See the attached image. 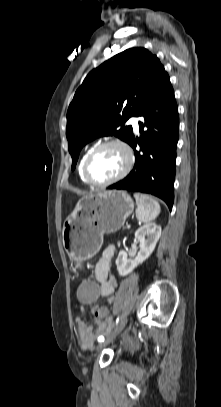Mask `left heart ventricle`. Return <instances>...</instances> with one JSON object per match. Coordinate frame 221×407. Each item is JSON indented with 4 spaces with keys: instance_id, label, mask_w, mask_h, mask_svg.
<instances>
[{
    "instance_id": "1",
    "label": "left heart ventricle",
    "mask_w": 221,
    "mask_h": 407,
    "mask_svg": "<svg viewBox=\"0 0 221 407\" xmlns=\"http://www.w3.org/2000/svg\"><path fill=\"white\" fill-rule=\"evenodd\" d=\"M126 165V155L118 146H109L91 160L89 173L96 181H106L117 176Z\"/></svg>"
}]
</instances>
